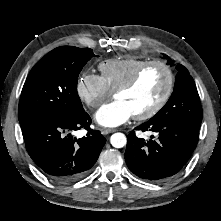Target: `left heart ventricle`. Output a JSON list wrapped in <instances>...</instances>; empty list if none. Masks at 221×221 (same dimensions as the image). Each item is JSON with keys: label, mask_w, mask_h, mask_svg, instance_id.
I'll use <instances>...</instances> for the list:
<instances>
[{"label": "left heart ventricle", "mask_w": 221, "mask_h": 221, "mask_svg": "<svg viewBox=\"0 0 221 221\" xmlns=\"http://www.w3.org/2000/svg\"><path fill=\"white\" fill-rule=\"evenodd\" d=\"M166 74L159 66L148 68L139 81L129 90L118 93L115 97L124 101L133 115L150 109L162 95L166 86Z\"/></svg>", "instance_id": "left-heart-ventricle-1"}]
</instances>
